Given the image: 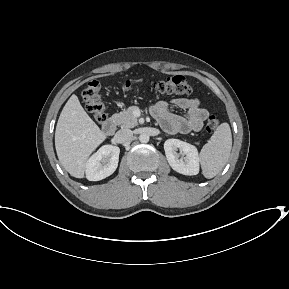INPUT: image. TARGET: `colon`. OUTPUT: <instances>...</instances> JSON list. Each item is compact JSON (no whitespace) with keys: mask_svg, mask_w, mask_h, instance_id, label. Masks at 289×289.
Instances as JSON below:
<instances>
[{"mask_svg":"<svg viewBox=\"0 0 289 289\" xmlns=\"http://www.w3.org/2000/svg\"><path fill=\"white\" fill-rule=\"evenodd\" d=\"M121 86L126 91L135 90L130 81H124ZM152 90L159 94L187 95L192 91V86L184 76L176 75L153 83ZM87 110L93 115L98 123L106 120L105 104L101 97V84L98 81H91L82 92ZM220 125L216 116H209L206 122V130L214 132Z\"/></svg>","mask_w":289,"mask_h":289,"instance_id":"1","label":"colon"}]
</instances>
